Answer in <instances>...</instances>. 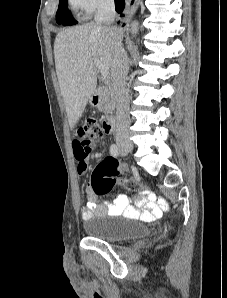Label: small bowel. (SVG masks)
<instances>
[{
	"mask_svg": "<svg viewBox=\"0 0 227 298\" xmlns=\"http://www.w3.org/2000/svg\"><path fill=\"white\" fill-rule=\"evenodd\" d=\"M73 147V158H76L77 171L79 175H84L87 171V158L90 151H93L94 142H81V139H70ZM84 158V159H78ZM154 193L146 189L139 191L135 196V205L125 194H118L114 200H105L100 203L92 190L88 191V202L80 209L82 220H88L94 215L125 216L131 219H141L151 221L162 215L163 209L157 204ZM139 207H142L140 210Z\"/></svg>",
	"mask_w": 227,
	"mask_h": 298,
	"instance_id": "obj_1",
	"label": "small bowel"
}]
</instances>
